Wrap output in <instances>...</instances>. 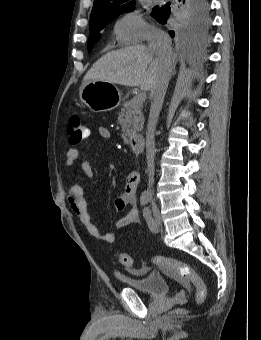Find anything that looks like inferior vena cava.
<instances>
[{
  "mask_svg": "<svg viewBox=\"0 0 261 340\" xmlns=\"http://www.w3.org/2000/svg\"><path fill=\"white\" fill-rule=\"evenodd\" d=\"M148 48L159 58H168L172 55L171 39L167 33L160 29H152L148 35ZM171 70L164 71L158 79L155 87L151 90V108L146 133V158L148 169V194L153 195L154 183V158H155V130L161 111L168 83L170 80Z\"/></svg>",
  "mask_w": 261,
  "mask_h": 340,
  "instance_id": "1",
  "label": "inferior vena cava"
}]
</instances>
